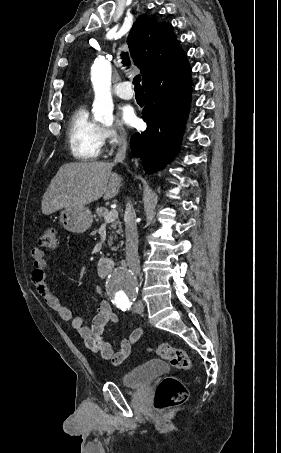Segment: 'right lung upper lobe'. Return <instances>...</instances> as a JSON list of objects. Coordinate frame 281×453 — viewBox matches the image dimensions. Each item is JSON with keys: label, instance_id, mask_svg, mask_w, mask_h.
<instances>
[{"label": "right lung upper lobe", "instance_id": "1", "mask_svg": "<svg viewBox=\"0 0 281 453\" xmlns=\"http://www.w3.org/2000/svg\"><path fill=\"white\" fill-rule=\"evenodd\" d=\"M172 25L145 14L133 24L127 43L142 80L183 52Z\"/></svg>", "mask_w": 281, "mask_h": 453}]
</instances>
